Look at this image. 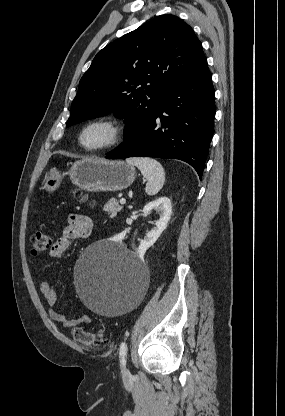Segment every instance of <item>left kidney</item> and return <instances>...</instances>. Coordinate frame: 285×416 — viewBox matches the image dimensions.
I'll return each mask as SVG.
<instances>
[{
    "label": "left kidney",
    "mask_w": 285,
    "mask_h": 416,
    "mask_svg": "<svg viewBox=\"0 0 285 416\" xmlns=\"http://www.w3.org/2000/svg\"><path fill=\"white\" fill-rule=\"evenodd\" d=\"M151 210H157L160 214V218L156 222V228L151 230V232H147L144 240H141L140 246L136 250L138 256H144L146 250L151 248L156 240H158L159 236H161L162 232H164L170 220L172 204L169 198H159V200H154V202H150V204H147V206L143 208L144 214H149Z\"/></svg>",
    "instance_id": "5707ae66"
}]
</instances>
